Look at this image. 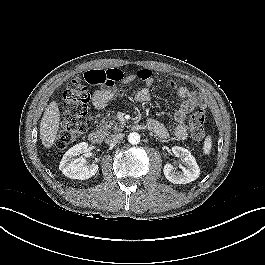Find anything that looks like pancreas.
Wrapping results in <instances>:
<instances>
[{
  "instance_id": "pancreas-1",
  "label": "pancreas",
  "mask_w": 265,
  "mask_h": 265,
  "mask_svg": "<svg viewBox=\"0 0 265 265\" xmlns=\"http://www.w3.org/2000/svg\"><path fill=\"white\" fill-rule=\"evenodd\" d=\"M102 125H103L102 126L103 133L105 135H108L109 134V130L111 128V125H113V123L108 124V122L102 121ZM122 128H123L122 124L121 125H117V124L114 125V130L115 131H120V130H122Z\"/></svg>"
}]
</instances>
